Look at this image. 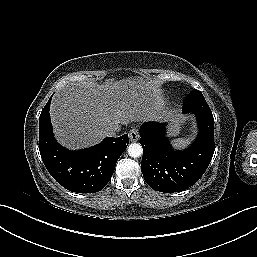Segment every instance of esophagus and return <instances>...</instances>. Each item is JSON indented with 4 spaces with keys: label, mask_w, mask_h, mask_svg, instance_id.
Masks as SVG:
<instances>
[{
    "label": "esophagus",
    "mask_w": 257,
    "mask_h": 257,
    "mask_svg": "<svg viewBox=\"0 0 257 257\" xmlns=\"http://www.w3.org/2000/svg\"><path fill=\"white\" fill-rule=\"evenodd\" d=\"M129 140L131 142H136L139 140V132H138V129L136 128H133L129 131Z\"/></svg>",
    "instance_id": "1"
}]
</instances>
